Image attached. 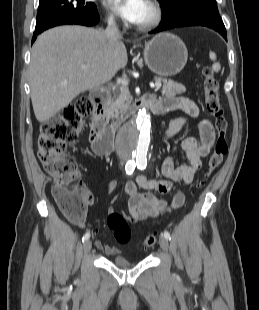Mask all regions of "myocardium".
I'll use <instances>...</instances> for the list:
<instances>
[{
  "label": "myocardium",
  "instance_id": "f54148a6",
  "mask_svg": "<svg viewBox=\"0 0 259 310\" xmlns=\"http://www.w3.org/2000/svg\"><path fill=\"white\" fill-rule=\"evenodd\" d=\"M153 11L152 18L144 24H136L135 27L140 31L153 30L160 25L163 20L164 10L158 0H146Z\"/></svg>",
  "mask_w": 259,
  "mask_h": 310
}]
</instances>
